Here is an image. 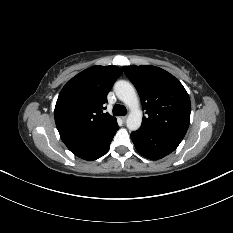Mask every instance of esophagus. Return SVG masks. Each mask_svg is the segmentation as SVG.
<instances>
[{
    "label": "esophagus",
    "instance_id": "esophagus-1",
    "mask_svg": "<svg viewBox=\"0 0 233 233\" xmlns=\"http://www.w3.org/2000/svg\"><path fill=\"white\" fill-rule=\"evenodd\" d=\"M121 119H122L123 121H126L127 116H123V117H121Z\"/></svg>",
    "mask_w": 233,
    "mask_h": 233
}]
</instances>
